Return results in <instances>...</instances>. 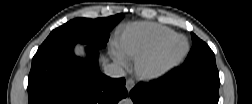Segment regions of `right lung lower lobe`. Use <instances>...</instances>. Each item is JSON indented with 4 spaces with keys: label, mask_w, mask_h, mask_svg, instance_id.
I'll return each instance as SVG.
<instances>
[{
    "label": "right lung lower lobe",
    "mask_w": 252,
    "mask_h": 104,
    "mask_svg": "<svg viewBox=\"0 0 252 104\" xmlns=\"http://www.w3.org/2000/svg\"><path fill=\"white\" fill-rule=\"evenodd\" d=\"M66 44L37 52L28 77L29 104H117L127 96L125 79H113L98 67V51L77 57Z\"/></svg>",
    "instance_id": "right-lung-lower-lobe-1"
}]
</instances>
